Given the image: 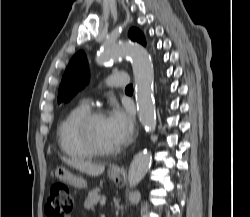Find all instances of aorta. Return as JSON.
I'll return each instance as SVG.
<instances>
[{"label":"aorta","instance_id":"obj_1","mask_svg":"<svg viewBox=\"0 0 250 217\" xmlns=\"http://www.w3.org/2000/svg\"><path fill=\"white\" fill-rule=\"evenodd\" d=\"M129 57L132 62L133 73L136 81V103L138 117L149 133L155 131L156 114L153 98L154 68L147 50L136 43H116L106 45L100 52L97 61L105 63ZM152 160L151 152H139L132 160L128 172V181L131 187H135L143 179Z\"/></svg>","mask_w":250,"mask_h":217}]
</instances>
